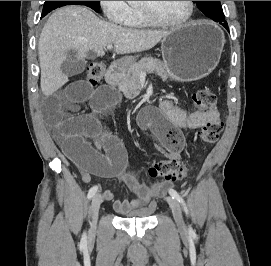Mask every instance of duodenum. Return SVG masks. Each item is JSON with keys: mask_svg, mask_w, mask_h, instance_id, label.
<instances>
[{"mask_svg": "<svg viewBox=\"0 0 271 266\" xmlns=\"http://www.w3.org/2000/svg\"><path fill=\"white\" fill-rule=\"evenodd\" d=\"M124 69V61L122 60H115L113 61L106 73V82L109 86H116L118 85Z\"/></svg>", "mask_w": 271, "mask_h": 266, "instance_id": "obj_1", "label": "duodenum"}]
</instances>
